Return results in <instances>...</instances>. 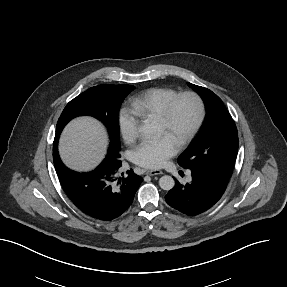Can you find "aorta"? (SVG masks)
Here are the masks:
<instances>
[{
    "label": "aorta",
    "instance_id": "aorta-1",
    "mask_svg": "<svg viewBox=\"0 0 287 287\" xmlns=\"http://www.w3.org/2000/svg\"><path fill=\"white\" fill-rule=\"evenodd\" d=\"M139 132L143 135H151L154 132V126L151 124H144L143 126H141L139 128ZM175 185V181L174 179L169 176V175H165L162 176L159 179V186L163 189V190H171Z\"/></svg>",
    "mask_w": 287,
    "mask_h": 287
}]
</instances>
